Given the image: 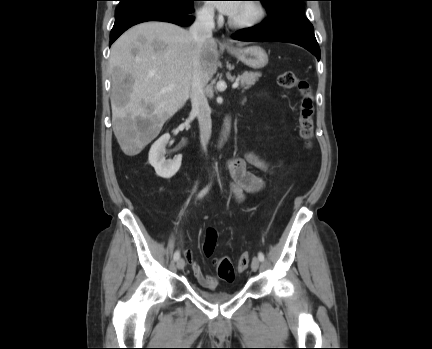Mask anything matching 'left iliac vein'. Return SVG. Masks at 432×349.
Listing matches in <instances>:
<instances>
[{"label": "left iliac vein", "instance_id": "1", "mask_svg": "<svg viewBox=\"0 0 432 349\" xmlns=\"http://www.w3.org/2000/svg\"><path fill=\"white\" fill-rule=\"evenodd\" d=\"M260 261L257 257H254L252 260L251 268L256 271L259 268Z\"/></svg>", "mask_w": 432, "mask_h": 349}]
</instances>
